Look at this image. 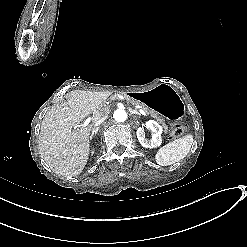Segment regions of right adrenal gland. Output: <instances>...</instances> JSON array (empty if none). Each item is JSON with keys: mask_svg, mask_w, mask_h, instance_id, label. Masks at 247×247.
Masks as SVG:
<instances>
[{"mask_svg": "<svg viewBox=\"0 0 247 247\" xmlns=\"http://www.w3.org/2000/svg\"><path fill=\"white\" fill-rule=\"evenodd\" d=\"M100 127H97L95 129H92V133L90 134L89 139L92 140L93 136L97 135V132L99 131Z\"/></svg>", "mask_w": 247, "mask_h": 247, "instance_id": "1", "label": "right adrenal gland"}]
</instances>
